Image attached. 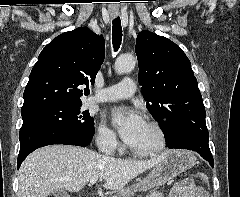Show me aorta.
Returning a JSON list of instances; mask_svg holds the SVG:
<instances>
[{
  "instance_id": "obj_1",
  "label": "aorta",
  "mask_w": 240,
  "mask_h": 197,
  "mask_svg": "<svg viewBox=\"0 0 240 197\" xmlns=\"http://www.w3.org/2000/svg\"><path fill=\"white\" fill-rule=\"evenodd\" d=\"M135 66V60L132 55H122L115 61V71L118 74H125L130 72Z\"/></svg>"
}]
</instances>
